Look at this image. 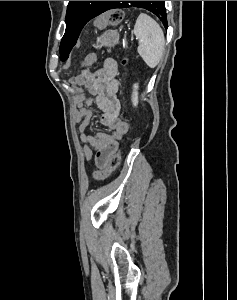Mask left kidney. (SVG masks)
<instances>
[{"instance_id":"1","label":"left kidney","mask_w":237,"mask_h":300,"mask_svg":"<svg viewBox=\"0 0 237 300\" xmlns=\"http://www.w3.org/2000/svg\"><path fill=\"white\" fill-rule=\"evenodd\" d=\"M132 105L133 107H137L138 105V85L137 83H135V85H133V93H132Z\"/></svg>"}]
</instances>
